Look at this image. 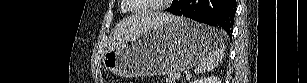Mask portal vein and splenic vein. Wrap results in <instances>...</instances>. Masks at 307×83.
Here are the masks:
<instances>
[{
    "label": "portal vein and splenic vein",
    "instance_id": "obj_1",
    "mask_svg": "<svg viewBox=\"0 0 307 83\" xmlns=\"http://www.w3.org/2000/svg\"><path fill=\"white\" fill-rule=\"evenodd\" d=\"M175 78L179 79L180 78V74H175Z\"/></svg>",
    "mask_w": 307,
    "mask_h": 83
}]
</instances>
